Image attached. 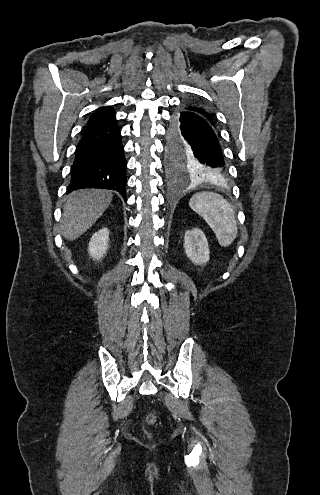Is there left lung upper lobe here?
Listing matches in <instances>:
<instances>
[{
  "label": "left lung upper lobe",
  "instance_id": "obj_1",
  "mask_svg": "<svg viewBox=\"0 0 320 495\" xmlns=\"http://www.w3.org/2000/svg\"><path fill=\"white\" fill-rule=\"evenodd\" d=\"M187 109L214 122L212 115L199 103L186 101ZM168 171L172 176L187 173L192 177H210V171L202 162L199 151L182 134L176 121L169 132Z\"/></svg>",
  "mask_w": 320,
  "mask_h": 495
}]
</instances>
